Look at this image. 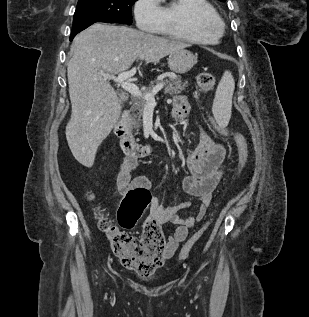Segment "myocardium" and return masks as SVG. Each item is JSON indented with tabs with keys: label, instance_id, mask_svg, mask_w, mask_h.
Returning a JSON list of instances; mask_svg holds the SVG:
<instances>
[{
	"label": "myocardium",
	"instance_id": "1",
	"mask_svg": "<svg viewBox=\"0 0 309 317\" xmlns=\"http://www.w3.org/2000/svg\"><path fill=\"white\" fill-rule=\"evenodd\" d=\"M193 28L201 33L221 34L223 32L224 24L220 18H215L205 13L195 14L192 19Z\"/></svg>",
	"mask_w": 309,
	"mask_h": 317
}]
</instances>
